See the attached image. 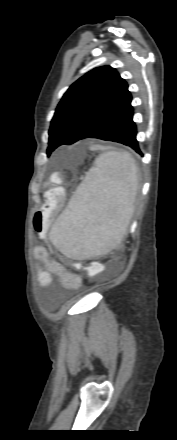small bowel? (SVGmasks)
<instances>
[{
	"label": "small bowel",
	"mask_w": 177,
	"mask_h": 440,
	"mask_svg": "<svg viewBox=\"0 0 177 440\" xmlns=\"http://www.w3.org/2000/svg\"><path fill=\"white\" fill-rule=\"evenodd\" d=\"M43 230L38 232L42 233ZM35 256L45 265V269L38 272L39 283L42 287L48 288L51 285L52 275L58 276L65 288L78 289L81 286L80 278L78 276H70L69 272L65 270L60 262L48 256L47 250L44 247H37L35 249Z\"/></svg>",
	"instance_id": "1"
}]
</instances>
